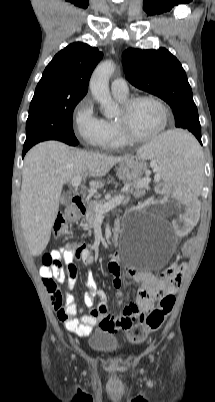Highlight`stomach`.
<instances>
[{
  "instance_id": "stomach-1",
  "label": "stomach",
  "mask_w": 215,
  "mask_h": 402,
  "mask_svg": "<svg viewBox=\"0 0 215 402\" xmlns=\"http://www.w3.org/2000/svg\"><path fill=\"white\" fill-rule=\"evenodd\" d=\"M146 170V165L142 158L126 156L117 167V176L123 182H137L142 178Z\"/></svg>"
}]
</instances>
